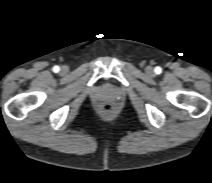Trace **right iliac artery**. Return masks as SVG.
<instances>
[{
    "mask_svg": "<svg viewBox=\"0 0 212 183\" xmlns=\"http://www.w3.org/2000/svg\"><path fill=\"white\" fill-rule=\"evenodd\" d=\"M59 70H60L59 66H54V67H53V71H54L55 73H57Z\"/></svg>",
    "mask_w": 212,
    "mask_h": 183,
    "instance_id": "1",
    "label": "right iliac artery"
}]
</instances>
